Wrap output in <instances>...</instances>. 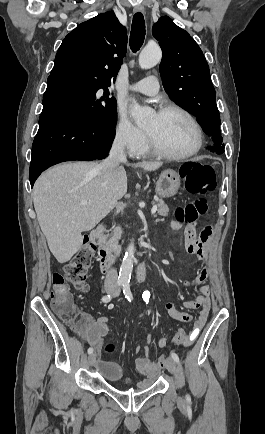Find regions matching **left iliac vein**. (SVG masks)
Masks as SVG:
<instances>
[{
	"label": "left iliac vein",
	"mask_w": 265,
	"mask_h": 434,
	"mask_svg": "<svg viewBox=\"0 0 265 434\" xmlns=\"http://www.w3.org/2000/svg\"><path fill=\"white\" fill-rule=\"evenodd\" d=\"M114 292V291H113ZM112 292V293H113ZM120 293V290H115L114 295L117 296ZM165 365L166 368L168 369V371L173 374L174 376L177 375L178 371H177V366H176V362L174 361L173 358L169 357L167 358V360L165 361ZM178 401L182 402V398L178 397Z\"/></svg>",
	"instance_id": "1"
}]
</instances>
